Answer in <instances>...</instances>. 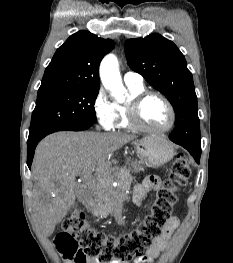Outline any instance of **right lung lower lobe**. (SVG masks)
<instances>
[{
    "mask_svg": "<svg viewBox=\"0 0 233 263\" xmlns=\"http://www.w3.org/2000/svg\"><path fill=\"white\" fill-rule=\"evenodd\" d=\"M92 124H80V125H72V126H63L60 128H56L50 131H47L39 136H37L36 138L32 139V140H28L27 142V165L29 168H31V164H32V160L34 157V151L35 148L38 144V142L44 138L46 135L53 133V132H57V131H82L85 129H88L89 127H91Z\"/></svg>",
    "mask_w": 233,
    "mask_h": 263,
    "instance_id": "right-lung-lower-lobe-1",
    "label": "right lung lower lobe"
}]
</instances>
